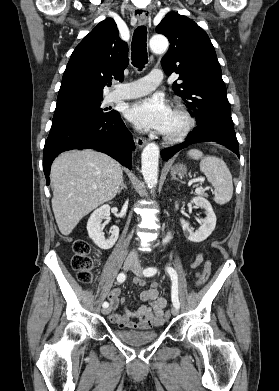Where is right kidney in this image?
I'll return each instance as SVG.
<instances>
[{
  "label": "right kidney",
  "mask_w": 279,
  "mask_h": 391,
  "mask_svg": "<svg viewBox=\"0 0 279 391\" xmlns=\"http://www.w3.org/2000/svg\"><path fill=\"white\" fill-rule=\"evenodd\" d=\"M110 216V206L103 205L96 209L89 217L87 222V231L89 237L101 249L107 250L114 246L119 237V228L112 226L110 236L105 238L103 228L101 226L103 219H108Z\"/></svg>",
  "instance_id": "1"
}]
</instances>
